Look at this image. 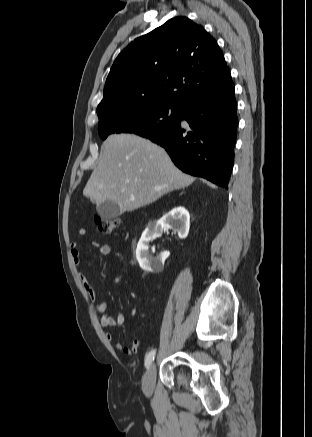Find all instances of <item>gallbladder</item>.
<instances>
[{"label":"gallbladder","mask_w":312,"mask_h":437,"mask_svg":"<svg viewBox=\"0 0 312 437\" xmlns=\"http://www.w3.org/2000/svg\"><path fill=\"white\" fill-rule=\"evenodd\" d=\"M99 216L105 220H112L121 215L119 205L112 201L106 200L97 206Z\"/></svg>","instance_id":"obj_1"}]
</instances>
